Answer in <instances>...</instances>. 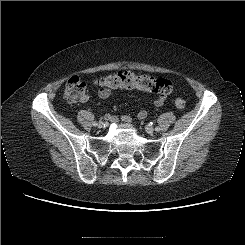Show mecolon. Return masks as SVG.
I'll return each instance as SVG.
<instances>
[{
  "mask_svg": "<svg viewBox=\"0 0 245 245\" xmlns=\"http://www.w3.org/2000/svg\"><path fill=\"white\" fill-rule=\"evenodd\" d=\"M96 85L105 91L117 89H138L147 92H154L161 95H169L174 91L173 83L164 78H157L149 75H138L130 71H122L110 74L96 80ZM86 95V85L78 77L73 76L68 79L65 89V98L73 103L80 102ZM175 106L183 109L186 102L182 98L175 100Z\"/></svg>",
  "mask_w": 245,
  "mask_h": 245,
  "instance_id": "obj_1",
  "label": "colon"
}]
</instances>
